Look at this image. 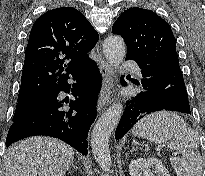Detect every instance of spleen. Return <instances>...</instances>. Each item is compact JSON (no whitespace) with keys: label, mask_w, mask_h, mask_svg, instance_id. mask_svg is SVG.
<instances>
[{"label":"spleen","mask_w":205,"mask_h":176,"mask_svg":"<svg viewBox=\"0 0 205 176\" xmlns=\"http://www.w3.org/2000/svg\"><path fill=\"white\" fill-rule=\"evenodd\" d=\"M132 134L155 143H165L170 150L179 151L181 158L170 157L177 176L202 175L198 134L176 113L167 111L151 113L136 123Z\"/></svg>","instance_id":"3e777b00"}]
</instances>
